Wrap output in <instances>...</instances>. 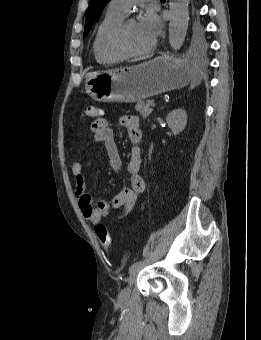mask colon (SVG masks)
<instances>
[{
	"mask_svg": "<svg viewBox=\"0 0 261 340\" xmlns=\"http://www.w3.org/2000/svg\"><path fill=\"white\" fill-rule=\"evenodd\" d=\"M81 115L83 117L93 118L102 115V111L95 105H87L83 107ZM95 233L100 244L105 249L110 248L112 239L107 227L102 223H98L95 225Z\"/></svg>",
	"mask_w": 261,
	"mask_h": 340,
	"instance_id": "1",
	"label": "colon"
}]
</instances>
